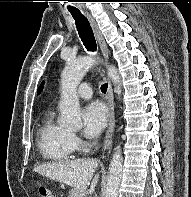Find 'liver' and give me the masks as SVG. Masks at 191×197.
<instances>
[{
	"instance_id": "obj_1",
	"label": "liver",
	"mask_w": 191,
	"mask_h": 197,
	"mask_svg": "<svg viewBox=\"0 0 191 197\" xmlns=\"http://www.w3.org/2000/svg\"><path fill=\"white\" fill-rule=\"evenodd\" d=\"M97 166V160L87 158L43 164L36 167L34 171L85 193L89 185L90 190L94 191L98 183L99 174L93 177Z\"/></svg>"
}]
</instances>
